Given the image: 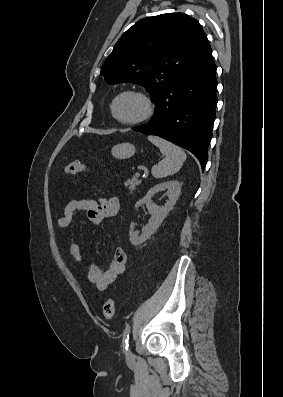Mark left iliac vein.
<instances>
[{"label": "left iliac vein", "instance_id": "4c4485c4", "mask_svg": "<svg viewBox=\"0 0 283 397\" xmlns=\"http://www.w3.org/2000/svg\"><path fill=\"white\" fill-rule=\"evenodd\" d=\"M132 353L130 351L127 352V357H131Z\"/></svg>", "mask_w": 283, "mask_h": 397}]
</instances>
